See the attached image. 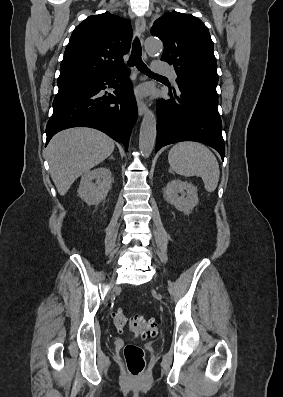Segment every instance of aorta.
I'll return each mask as SVG.
<instances>
[{
	"label": "aorta",
	"mask_w": 283,
	"mask_h": 397,
	"mask_svg": "<svg viewBox=\"0 0 283 397\" xmlns=\"http://www.w3.org/2000/svg\"><path fill=\"white\" fill-rule=\"evenodd\" d=\"M162 42L150 37L145 42V49L148 54L153 55L162 51ZM156 140V117L151 110H148L142 119L139 135V149L144 156H149L154 148Z\"/></svg>",
	"instance_id": "1"
}]
</instances>
